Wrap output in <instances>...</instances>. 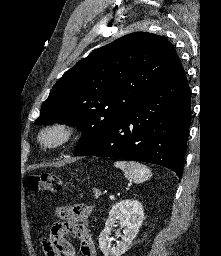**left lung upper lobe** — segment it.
<instances>
[{
  "instance_id": "left-lung-upper-lobe-1",
  "label": "left lung upper lobe",
  "mask_w": 221,
  "mask_h": 256,
  "mask_svg": "<svg viewBox=\"0 0 221 256\" xmlns=\"http://www.w3.org/2000/svg\"><path fill=\"white\" fill-rule=\"evenodd\" d=\"M182 69L165 37L125 35L92 51L56 82L42 104L37 124L59 122L83 131L76 150L139 105L157 86Z\"/></svg>"
}]
</instances>
